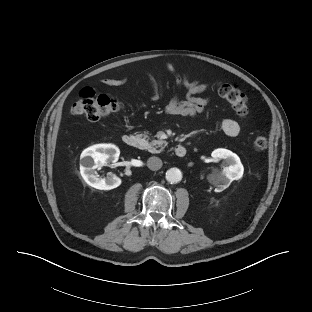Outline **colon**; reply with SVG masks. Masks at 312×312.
Returning <instances> with one entry per match:
<instances>
[{"label": "colon", "mask_w": 312, "mask_h": 312, "mask_svg": "<svg viewBox=\"0 0 312 312\" xmlns=\"http://www.w3.org/2000/svg\"><path fill=\"white\" fill-rule=\"evenodd\" d=\"M221 97L226 99L234 112L239 116H245L249 112V102L247 97L231 83H222L218 87ZM121 103L106 95H97L91 88H84L80 92V98L74 105L72 112L76 115H82L90 121H98L107 116L118 112ZM268 146L267 138L257 136L253 140V148L258 151H264Z\"/></svg>", "instance_id": "obj_1"}]
</instances>
